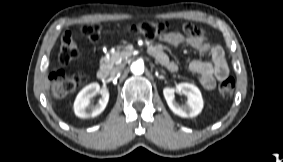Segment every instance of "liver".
<instances>
[{
  "instance_id": "6515ba94",
  "label": "liver",
  "mask_w": 283,
  "mask_h": 162,
  "mask_svg": "<svg viewBox=\"0 0 283 162\" xmlns=\"http://www.w3.org/2000/svg\"><path fill=\"white\" fill-rule=\"evenodd\" d=\"M44 89L47 92V94L49 95L50 81H49L47 76L44 79Z\"/></svg>"
}]
</instances>
